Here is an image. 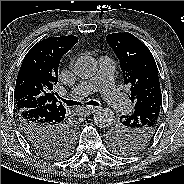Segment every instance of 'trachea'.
Instances as JSON below:
<instances>
[{"instance_id":"1","label":"trachea","mask_w":184,"mask_h":184,"mask_svg":"<svg viewBox=\"0 0 184 184\" xmlns=\"http://www.w3.org/2000/svg\"><path fill=\"white\" fill-rule=\"evenodd\" d=\"M58 96V95H57ZM58 98L60 100H62L64 103L67 104V106H78V105H81V102L79 101H74V100H67V99H63L62 97L58 96ZM88 105H91V106H99V103L96 102V101H88L87 102Z\"/></svg>"}]
</instances>
